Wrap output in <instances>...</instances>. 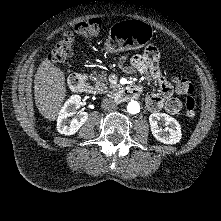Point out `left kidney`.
Masks as SVG:
<instances>
[{"label": "left kidney", "mask_w": 221, "mask_h": 221, "mask_svg": "<svg viewBox=\"0 0 221 221\" xmlns=\"http://www.w3.org/2000/svg\"><path fill=\"white\" fill-rule=\"evenodd\" d=\"M157 121H163L167 127L162 129ZM151 132L155 139L164 144H176L181 139V127L177 120L165 113H152L149 116Z\"/></svg>", "instance_id": "left-kidney-1"}]
</instances>
